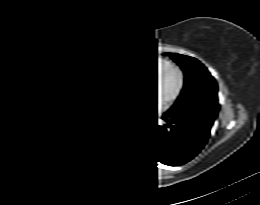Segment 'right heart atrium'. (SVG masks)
Returning a JSON list of instances; mask_svg holds the SVG:
<instances>
[{
  "instance_id": "1",
  "label": "right heart atrium",
  "mask_w": 260,
  "mask_h": 205,
  "mask_svg": "<svg viewBox=\"0 0 260 205\" xmlns=\"http://www.w3.org/2000/svg\"><path fill=\"white\" fill-rule=\"evenodd\" d=\"M124 87H125V85H124L123 79H119V80L117 81V83H116V89H117V91H118L120 97H121L122 99H124V100H125V99L127 100V96H125V94H123V89H124Z\"/></svg>"
}]
</instances>
